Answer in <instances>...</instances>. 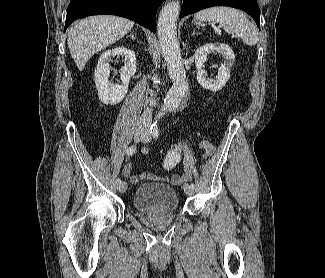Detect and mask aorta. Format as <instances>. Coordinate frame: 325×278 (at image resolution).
<instances>
[{"instance_id":"aorta-1","label":"aorta","mask_w":325,"mask_h":278,"mask_svg":"<svg viewBox=\"0 0 325 278\" xmlns=\"http://www.w3.org/2000/svg\"><path fill=\"white\" fill-rule=\"evenodd\" d=\"M179 12V1L171 0L162 7L158 17L157 35L163 57L167 63L169 76L173 82L166 95L164 109H176L179 107L188 90L186 72L177 42L176 24Z\"/></svg>"}]
</instances>
